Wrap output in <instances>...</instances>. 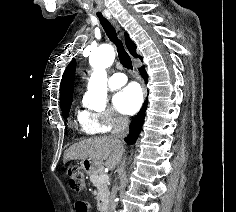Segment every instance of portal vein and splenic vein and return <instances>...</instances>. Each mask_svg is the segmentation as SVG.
<instances>
[{
  "label": "portal vein and splenic vein",
  "instance_id": "obj_1",
  "mask_svg": "<svg viewBox=\"0 0 236 212\" xmlns=\"http://www.w3.org/2000/svg\"><path fill=\"white\" fill-rule=\"evenodd\" d=\"M108 179H109L108 175H101L100 176V180H108Z\"/></svg>",
  "mask_w": 236,
  "mask_h": 212
}]
</instances>
